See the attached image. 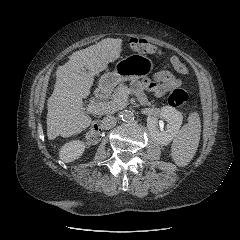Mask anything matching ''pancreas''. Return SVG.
Wrapping results in <instances>:
<instances>
[{
    "mask_svg": "<svg viewBox=\"0 0 240 240\" xmlns=\"http://www.w3.org/2000/svg\"><path fill=\"white\" fill-rule=\"evenodd\" d=\"M111 101L115 102V109L119 110L128 105V95L124 84H119L110 96Z\"/></svg>",
    "mask_w": 240,
    "mask_h": 240,
    "instance_id": "1",
    "label": "pancreas"
}]
</instances>
